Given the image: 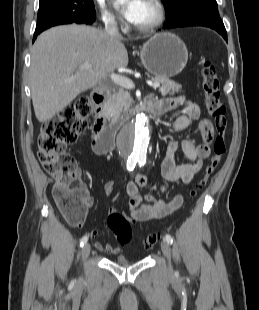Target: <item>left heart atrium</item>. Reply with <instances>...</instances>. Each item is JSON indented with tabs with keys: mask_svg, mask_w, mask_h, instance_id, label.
<instances>
[{
	"mask_svg": "<svg viewBox=\"0 0 259 310\" xmlns=\"http://www.w3.org/2000/svg\"><path fill=\"white\" fill-rule=\"evenodd\" d=\"M142 0H128L122 7V15L131 23L134 22Z\"/></svg>",
	"mask_w": 259,
	"mask_h": 310,
	"instance_id": "1",
	"label": "left heart atrium"
}]
</instances>
